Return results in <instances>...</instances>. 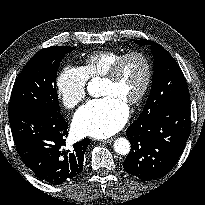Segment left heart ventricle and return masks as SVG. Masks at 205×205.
<instances>
[{
	"label": "left heart ventricle",
	"instance_id": "left-heart-ventricle-1",
	"mask_svg": "<svg viewBox=\"0 0 205 205\" xmlns=\"http://www.w3.org/2000/svg\"><path fill=\"white\" fill-rule=\"evenodd\" d=\"M145 74L144 62L139 58L132 57L124 63L115 81H103L101 96H114L127 104L140 92Z\"/></svg>",
	"mask_w": 205,
	"mask_h": 205
}]
</instances>
